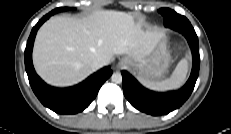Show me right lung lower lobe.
<instances>
[{
    "label": "right lung lower lobe",
    "mask_w": 231,
    "mask_h": 134,
    "mask_svg": "<svg viewBox=\"0 0 231 134\" xmlns=\"http://www.w3.org/2000/svg\"><path fill=\"white\" fill-rule=\"evenodd\" d=\"M45 15L33 27L25 50V68L29 83L41 103L59 114H75L83 111L95 99L102 84L111 76L109 66L100 69L85 81L67 88H57L45 84L36 74L32 63V49L39 27L51 16Z\"/></svg>",
    "instance_id": "1"
}]
</instances>
